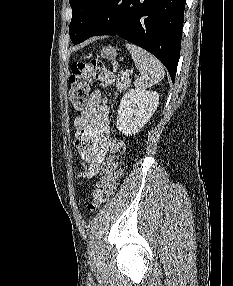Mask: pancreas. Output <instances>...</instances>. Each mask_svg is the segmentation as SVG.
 Instances as JSON below:
<instances>
[{"label":"pancreas","mask_w":233,"mask_h":286,"mask_svg":"<svg viewBox=\"0 0 233 286\" xmlns=\"http://www.w3.org/2000/svg\"><path fill=\"white\" fill-rule=\"evenodd\" d=\"M130 85H131V81L129 77L123 74L118 75V78L116 80V87L118 91L122 92L126 90L128 87H130Z\"/></svg>","instance_id":"1"}]
</instances>
